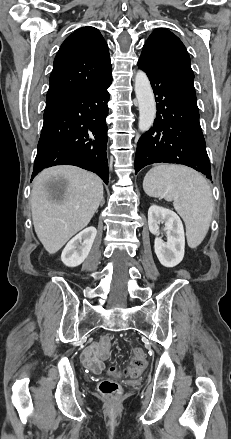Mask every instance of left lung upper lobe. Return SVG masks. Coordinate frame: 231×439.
I'll list each match as a JSON object with an SVG mask.
<instances>
[{"label": "left lung upper lobe", "instance_id": "obj_1", "mask_svg": "<svg viewBox=\"0 0 231 439\" xmlns=\"http://www.w3.org/2000/svg\"><path fill=\"white\" fill-rule=\"evenodd\" d=\"M142 52L148 53L195 92L190 57L184 44L172 32L162 28L156 29L146 41Z\"/></svg>", "mask_w": 231, "mask_h": 439}]
</instances>
